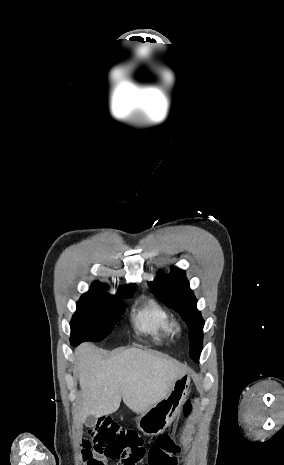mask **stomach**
Masks as SVG:
<instances>
[{
	"instance_id": "obj_1",
	"label": "stomach",
	"mask_w": 284,
	"mask_h": 465,
	"mask_svg": "<svg viewBox=\"0 0 284 465\" xmlns=\"http://www.w3.org/2000/svg\"><path fill=\"white\" fill-rule=\"evenodd\" d=\"M190 381L189 375H182L173 383L171 391L164 399L155 403L145 413H140V417H137L136 421L139 431L148 437H155V435L163 433L180 411V407L188 395Z\"/></svg>"
}]
</instances>
